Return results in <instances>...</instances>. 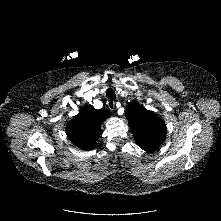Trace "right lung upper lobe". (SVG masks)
<instances>
[{"label": "right lung upper lobe", "instance_id": "1", "mask_svg": "<svg viewBox=\"0 0 221 221\" xmlns=\"http://www.w3.org/2000/svg\"><path fill=\"white\" fill-rule=\"evenodd\" d=\"M106 109L96 110L86 106L74 116L66 126V133L70 141L83 150H91L96 145L100 134L101 124L110 116Z\"/></svg>", "mask_w": 221, "mask_h": 221}]
</instances>
